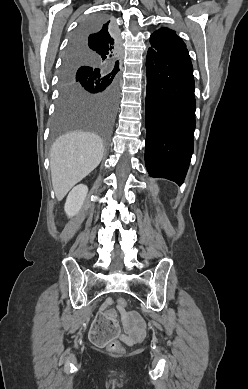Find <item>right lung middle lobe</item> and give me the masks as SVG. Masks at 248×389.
Here are the masks:
<instances>
[{"label": "right lung middle lobe", "instance_id": "right-lung-middle-lobe-1", "mask_svg": "<svg viewBox=\"0 0 248 389\" xmlns=\"http://www.w3.org/2000/svg\"><path fill=\"white\" fill-rule=\"evenodd\" d=\"M108 22L104 15L86 18L72 37L71 43L100 29ZM116 73L89 56L67 50L61 71V93L58 100L52 140L72 130H91L108 143L109 130L117 107Z\"/></svg>", "mask_w": 248, "mask_h": 389}]
</instances>
